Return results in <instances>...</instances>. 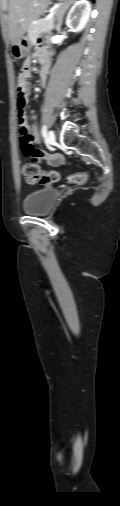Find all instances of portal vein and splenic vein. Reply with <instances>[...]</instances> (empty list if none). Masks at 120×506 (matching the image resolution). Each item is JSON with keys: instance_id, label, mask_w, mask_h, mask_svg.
I'll list each match as a JSON object with an SVG mask.
<instances>
[{"instance_id": "18ae733b", "label": "portal vein and splenic vein", "mask_w": 120, "mask_h": 506, "mask_svg": "<svg viewBox=\"0 0 120 506\" xmlns=\"http://www.w3.org/2000/svg\"><path fill=\"white\" fill-rule=\"evenodd\" d=\"M53 16H54V12H51L46 18H45V21H49V20H52L53 19Z\"/></svg>"}]
</instances>
